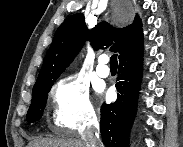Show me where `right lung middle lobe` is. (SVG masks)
Masks as SVG:
<instances>
[{
	"mask_svg": "<svg viewBox=\"0 0 183 147\" xmlns=\"http://www.w3.org/2000/svg\"><path fill=\"white\" fill-rule=\"evenodd\" d=\"M52 85L39 90L33 91L31 105L27 113V120L29 123L39 120L43 114V110L47 101V94Z\"/></svg>",
	"mask_w": 183,
	"mask_h": 147,
	"instance_id": "dd1d6c3e",
	"label": "right lung middle lobe"
}]
</instances>
